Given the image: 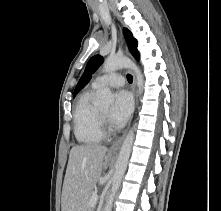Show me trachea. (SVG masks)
<instances>
[{
	"label": "trachea",
	"mask_w": 221,
	"mask_h": 211,
	"mask_svg": "<svg viewBox=\"0 0 221 211\" xmlns=\"http://www.w3.org/2000/svg\"><path fill=\"white\" fill-rule=\"evenodd\" d=\"M127 80H128L129 83H132L133 77H132L131 74H127Z\"/></svg>",
	"instance_id": "3493384b"
}]
</instances>
